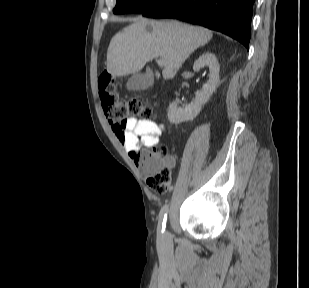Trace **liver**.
Wrapping results in <instances>:
<instances>
[{
	"mask_svg": "<svg viewBox=\"0 0 309 288\" xmlns=\"http://www.w3.org/2000/svg\"><path fill=\"white\" fill-rule=\"evenodd\" d=\"M212 36L208 29L178 21L137 18L110 41L107 72L113 77L136 74L147 62L161 57L165 60L163 78L172 79L190 54ZM155 74L159 79L160 73Z\"/></svg>",
	"mask_w": 309,
	"mask_h": 288,
	"instance_id": "liver-1",
	"label": "liver"
}]
</instances>
